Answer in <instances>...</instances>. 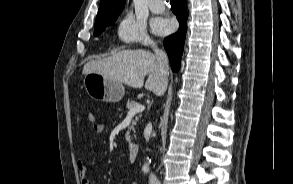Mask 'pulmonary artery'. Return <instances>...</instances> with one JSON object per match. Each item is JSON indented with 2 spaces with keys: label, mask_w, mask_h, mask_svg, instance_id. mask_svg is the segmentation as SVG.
I'll use <instances>...</instances> for the list:
<instances>
[{
  "label": "pulmonary artery",
  "mask_w": 293,
  "mask_h": 184,
  "mask_svg": "<svg viewBox=\"0 0 293 184\" xmlns=\"http://www.w3.org/2000/svg\"><path fill=\"white\" fill-rule=\"evenodd\" d=\"M149 8L152 13L161 14L165 10V5L162 0H150Z\"/></svg>",
  "instance_id": "obj_1"
}]
</instances>
